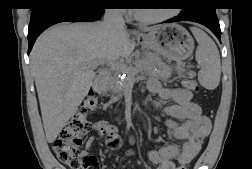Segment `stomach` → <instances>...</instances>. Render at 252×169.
Here are the masks:
<instances>
[{"label": "stomach", "mask_w": 252, "mask_h": 169, "mask_svg": "<svg viewBox=\"0 0 252 169\" xmlns=\"http://www.w3.org/2000/svg\"><path fill=\"white\" fill-rule=\"evenodd\" d=\"M137 40L143 47L161 54L169 61L184 60L194 50L192 36L178 24L157 26L146 34H139Z\"/></svg>", "instance_id": "0dacf381"}]
</instances>
